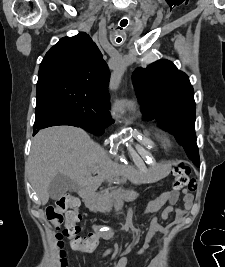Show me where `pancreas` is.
I'll return each instance as SVG.
<instances>
[{
	"mask_svg": "<svg viewBox=\"0 0 225 267\" xmlns=\"http://www.w3.org/2000/svg\"><path fill=\"white\" fill-rule=\"evenodd\" d=\"M137 197L138 193L133 190L106 189L97 194V203L100 211L109 212L113 206L117 207L124 200L136 199Z\"/></svg>",
	"mask_w": 225,
	"mask_h": 267,
	"instance_id": "cf45deb5",
	"label": "pancreas"
}]
</instances>
